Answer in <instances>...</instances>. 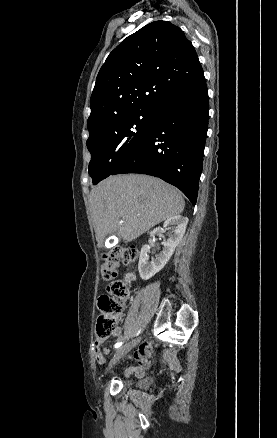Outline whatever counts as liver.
<instances>
[{
	"mask_svg": "<svg viewBox=\"0 0 277 438\" xmlns=\"http://www.w3.org/2000/svg\"><path fill=\"white\" fill-rule=\"evenodd\" d=\"M90 208L99 248L107 234L117 232L133 242L163 220L182 214L185 202L176 188L159 178L119 174L94 186Z\"/></svg>",
	"mask_w": 277,
	"mask_h": 438,
	"instance_id": "6515ba94",
	"label": "liver"
}]
</instances>
